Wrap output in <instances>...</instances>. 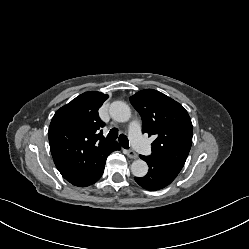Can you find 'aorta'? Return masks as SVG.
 <instances>
[{
  "instance_id": "aorta-1",
  "label": "aorta",
  "mask_w": 249,
  "mask_h": 249,
  "mask_svg": "<svg viewBox=\"0 0 249 249\" xmlns=\"http://www.w3.org/2000/svg\"><path fill=\"white\" fill-rule=\"evenodd\" d=\"M109 113L117 122H127L131 118L130 107L123 101L112 102ZM131 172L136 177H144L148 172V165L141 159L135 160L131 164Z\"/></svg>"
}]
</instances>
